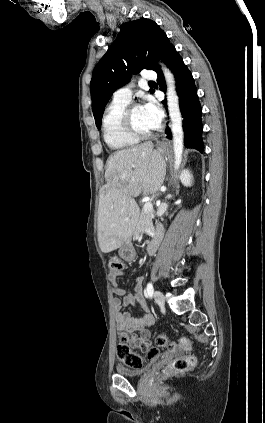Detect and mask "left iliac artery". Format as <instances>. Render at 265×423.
Listing matches in <instances>:
<instances>
[{"mask_svg":"<svg viewBox=\"0 0 265 423\" xmlns=\"http://www.w3.org/2000/svg\"><path fill=\"white\" fill-rule=\"evenodd\" d=\"M146 291H147V295H148L150 298H152V296H153V292H154V288H153L152 283H148V284H147Z\"/></svg>","mask_w":265,"mask_h":423,"instance_id":"44dca946","label":"left iliac artery"}]
</instances>
